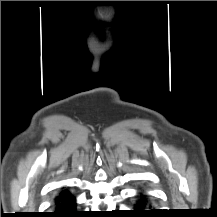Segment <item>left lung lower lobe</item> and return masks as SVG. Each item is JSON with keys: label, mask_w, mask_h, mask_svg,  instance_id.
<instances>
[{"label": "left lung lower lobe", "mask_w": 217, "mask_h": 217, "mask_svg": "<svg viewBox=\"0 0 217 217\" xmlns=\"http://www.w3.org/2000/svg\"><path fill=\"white\" fill-rule=\"evenodd\" d=\"M135 207L137 209L135 211V214H137L140 217H155L157 214H159V212L156 209H150V207L147 205L145 196L143 194H140V198L137 201Z\"/></svg>", "instance_id": "left-lung-lower-lobe-1"}]
</instances>
